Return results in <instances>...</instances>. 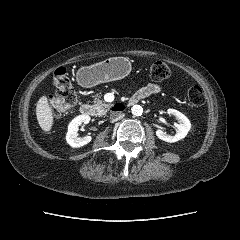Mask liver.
<instances>
[{"label": "liver", "instance_id": "1", "mask_svg": "<svg viewBox=\"0 0 240 240\" xmlns=\"http://www.w3.org/2000/svg\"><path fill=\"white\" fill-rule=\"evenodd\" d=\"M36 116L39 126L44 132H49L53 126V112L46 96H42L36 105Z\"/></svg>", "mask_w": 240, "mask_h": 240}]
</instances>
